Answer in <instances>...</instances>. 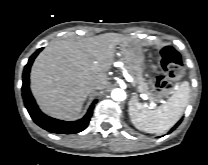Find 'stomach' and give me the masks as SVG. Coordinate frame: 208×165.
Returning <instances> with one entry per match:
<instances>
[{
	"label": "stomach",
	"instance_id": "0dacf381",
	"mask_svg": "<svg viewBox=\"0 0 208 165\" xmlns=\"http://www.w3.org/2000/svg\"><path fill=\"white\" fill-rule=\"evenodd\" d=\"M120 50L123 56V60L126 64L133 68L134 87L137 91L141 92L139 88V77L142 76L144 69V56L139 46L129 42L121 43Z\"/></svg>",
	"mask_w": 208,
	"mask_h": 165
}]
</instances>
